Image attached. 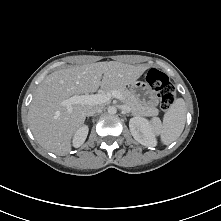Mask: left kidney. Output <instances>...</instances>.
<instances>
[{
    "mask_svg": "<svg viewBox=\"0 0 221 221\" xmlns=\"http://www.w3.org/2000/svg\"><path fill=\"white\" fill-rule=\"evenodd\" d=\"M129 128L133 138L147 147L157 145L156 135L150 122L142 117H133L129 121Z\"/></svg>",
    "mask_w": 221,
    "mask_h": 221,
    "instance_id": "left-kidney-1",
    "label": "left kidney"
}]
</instances>
